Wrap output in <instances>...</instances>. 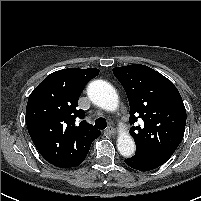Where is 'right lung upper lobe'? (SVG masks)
I'll return each instance as SVG.
<instances>
[{"label":"right lung upper lobe","mask_w":201,"mask_h":201,"mask_svg":"<svg viewBox=\"0 0 201 201\" xmlns=\"http://www.w3.org/2000/svg\"><path fill=\"white\" fill-rule=\"evenodd\" d=\"M96 68H67L48 75L30 94L26 124L39 153L49 163L75 167L82 163L100 131L82 120L78 99L84 86L99 74Z\"/></svg>","instance_id":"1"}]
</instances>
